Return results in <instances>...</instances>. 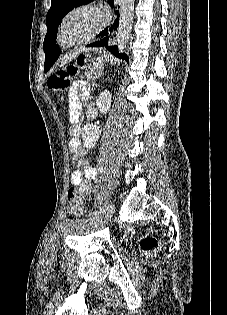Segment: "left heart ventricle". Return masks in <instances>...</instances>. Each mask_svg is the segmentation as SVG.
Listing matches in <instances>:
<instances>
[{
    "label": "left heart ventricle",
    "instance_id": "b2bd125f",
    "mask_svg": "<svg viewBox=\"0 0 227 315\" xmlns=\"http://www.w3.org/2000/svg\"><path fill=\"white\" fill-rule=\"evenodd\" d=\"M97 23V18L88 12L74 14L65 28V41H73L90 32Z\"/></svg>",
    "mask_w": 227,
    "mask_h": 315
}]
</instances>
